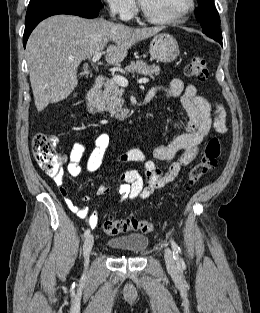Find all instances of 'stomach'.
Instances as JSON below:
<instances>
[{
	"label": "stomach",
	"mask_w": 260,
	"mask_h": 313,
	"mask_svg": "<svg viewBox=\"0 0 260 313\" xmlns=\"http://www.w3.org/2000/svg\"><path fill=\"white\" fill-rule=\"evenodd\" d=\"M150 54L157 61L169 63L179 55L176 39L168 33H160L153 37L150 43Z\"/></svg>",
	"instance_id": "1"
}]
</instances>
